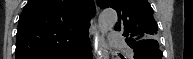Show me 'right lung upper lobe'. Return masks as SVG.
<instances>
[{"label":"right lung upper lobe","mask_w":193,"mask_h":59,"mask_svg":"<svg viewBox=\"0 0 193 59\" xmlns=\"http://www.w3.org/2000/svg\"><path fill=\"white\" fill-rule=\"evenodd\" d=\"M95 15L91 0H30L16 35V59H60L85 41Z\"/></svg>","instance_id":"right-lung-upper-lobe-1"}]
</instances>
